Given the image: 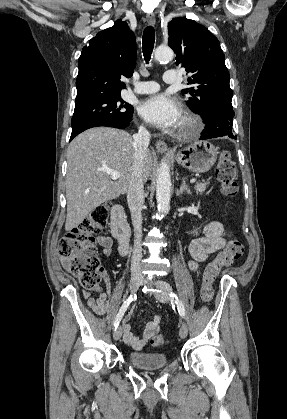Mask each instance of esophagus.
Segmentation results:
<instances>
[{"mask_svg":"<svg viewBox=\"0 0 287 419\" xmlns=\"http://www.w3.org/2000/svg\"><path fill=\"white\" fill-rule=\"evenodd\" d=\"M146 19H147V22H148L150 25L155 26V24H156V19H155V15H154L153 13H148V14L146 15ZM155 148H156L158 151H160V152H166V153H168V154H173L172 150H170V149L167 147L166 143H165L163 140H157V141L155 142Z\"/></svg>","mask_w":287,"mask_h":419,"instance_id":"34e87169","label":"esophagus"}]
</instances>
